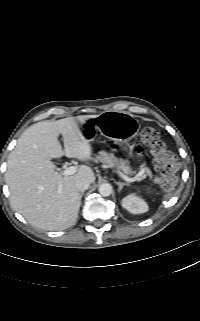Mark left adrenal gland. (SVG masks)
Returning a JSON list of instances; mask_svg holds the SVG:
<instances>
[{"mask_svg": "<svg viewBox=\"0 0 200 321\" xmlns=\"http://www.w3.org/2000/svg\"><path fill=\"white\" fill-rule=\"evenodd\" d=\"M115 183L119 186V189H118L119 193L121 192L124 186H129L128 183H123V182H115Z\"/></svg>", "mask_w": 200, "mask_h": 321, "instance_id": "1", "label": "left adrenal gland"}]
</instances>
